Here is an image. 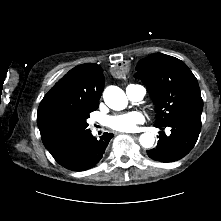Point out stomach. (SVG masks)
I'll use <instances>...</instances> for the list:
<instances>
[{"label":"stomach","mask_w":221,"mask_h":221,"mask_svg":"<svg viewBox=\"0 0 221 221\" xmlns=\"http://www.w3.org/2000/svg\"><path fill=\"white\" fill-rule=\"evenodd\" d=\"M132 64L130 61L128 60H121L118 62L117 65L114 66L113 68V75L115 78L117 79H124L126 78L128 75L131 74L132 72Z\"/></svg>","instance_id":"obj_1"}]
</instances>
